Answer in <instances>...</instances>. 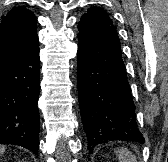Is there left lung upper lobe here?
Masks as SVG:
<instances>
[{
	"label": "left lung upper lobe",
	"mask_w": 168,
	"mask_h": 162,
	"mask_svg": "<svg viewBox=\"0 0 168 162\" xmlns=\"http://www.w3.org/2000/svg\"><path fill=\"white\" fill-rule=\"evenodd\" d=\"M84 15H90V16H94L99 18L100 20L108 23L109 25H111L112 27H114L111 19L109 18L108 14L106 11H104L101 8L98 7H91L88 9V12Z\"/></svg>",
	"instance_id": "obj_1"
}]
</instances>
